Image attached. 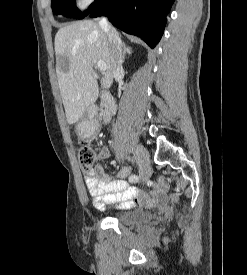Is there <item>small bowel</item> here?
<instances>
[{"mask_svg":"<svg viewBox=\"0 0 247 275\" xmlns=\"http://www.w3.org/2000/svg\"><path fill=\"white\" fill-rule=\"evenodd\" d=\"M109 155L108 149L102 148L98 154V161L106 160ZM130 172L129 167H124L115 176H111L98 165L84 174L85 186L98 209L118 201H121V209L160 204L165 201L167 185L164 182L149 181L147 185L150 189L145 192L129 186L124 180Z\"/></svg>","mask_w":247,"mask_h":275,"instance_id":"c3829d8e","label":"small bowel"}]
</instances>
